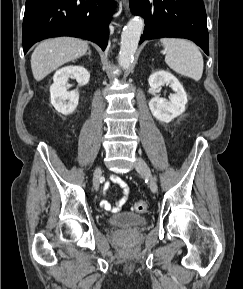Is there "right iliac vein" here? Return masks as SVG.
<instances>
[{"label":"right iliac vein","mask_w":243,"mask_h":289,"mask_svg":"<svg viewBox=\"0 0 243 289\" xmlns=\"http://www.w3.org/2000/svg\"><path fill=\"white\" fill-rule=\"evenodd\" d=\"M101 174H102V169L100 166H98L95 169L94 174H93V185H94L95 190L99 189V180H100Z\"/></svg>","instance_id":"63e3f726"}]
</instances>
